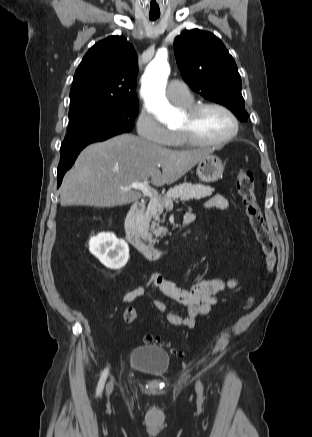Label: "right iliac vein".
<instances>
[{"instance_id":"1","label":"right iliac vein","mask_w":312,"mask_h":437,"mask_svg":"<svg viewBox=\"0 0 312 437\" xmlns=\"http://www.w3.org/2000/svg\"><path fill=\"white\" fill-rule=\"evenodd\" d=\"M113 385L112 383H109L107 386V392L110 393L112 391Z\"/></svg>"}]
</instances>
